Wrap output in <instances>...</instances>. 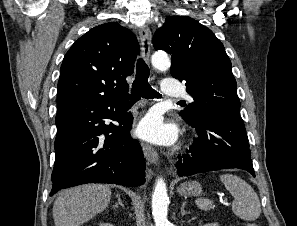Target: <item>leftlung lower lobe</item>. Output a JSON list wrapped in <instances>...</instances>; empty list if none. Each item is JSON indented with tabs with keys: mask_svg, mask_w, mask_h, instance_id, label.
I'll return each mask as SVG.
<instances>
[{
	"mask_svg": "<svg viewBox=\"0 0 297 226\" xmlns=\"http://www.w3.org/2000/svg\"><path fill=\"white\" fill-rule=\"evenodd\" d=\"M190 123L199 135L175 167L178 176L239 168L255 176L248 137L241 117L210 115Z\"/></svg>",
	"mask_w": 297,
	"mask_h": 226,
	"instance_id": "left-lung-lower-lobe-1",
	"label": "left lung lower lobe"
}]
</instances>
